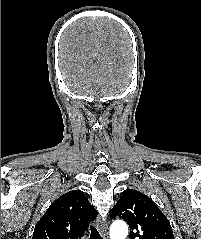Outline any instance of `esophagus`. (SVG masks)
I'll list each match as a JSON object with an SVG mask.
<instances>
[{
  "mask_svg": "<svg viewBox=\"0 0 201 239\" xmlns=\"http://www.w3.org/2000/svg\"><path fill=\"white\" fill-rule=\"evenodd\" d=\"M100 232L102 234L103 239H108V224L107 222H99L98 223Z\"/></svg>",
  "mask_w": 201,
  "mask_h": 239,
  "instance_id": "esophagus-1",
  "label": "esophagus"
}]
</instances>
